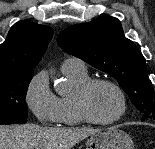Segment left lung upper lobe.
Returning <instances> with one entry per match:
<instances>
[{
  "mask_svg": "<svg viewBox=\"0 0 155 149\" xmlns=\"http://www.w3.org/2000/svg\"><path fill=\"white\" fill-rule=\"evenodd\" d=\"M57 43L63 51L116 78L141 111L142 119H155L154 89L145 58L127 39L118 19L102 15L61 31Z\"/></svg>",
  "mask_w": 155,
  "mask_h": 149,
  "instance_id": "1",
  "label": "left lung upper lobe"
}]
</instances>
